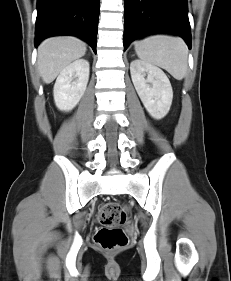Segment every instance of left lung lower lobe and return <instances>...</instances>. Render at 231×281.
Wrapping results in <instances>:
<instances>
[{
	"label": "left lung lower lobe",
	"mask_w": 231,
	"mask_h": 281,
	"mask_svg": "<svg viewBox=\"0 0 231 281\" xmlns=\"http://www.w3.org/2000/svg\"><path fill=\"white\" fill-rule=\"evenodd\" d=\"M124 50L135 39L156 33L181 36L191 48L187 0H124Z\"/></svg>",
	"instance_id": "1"
}]
</instances>
